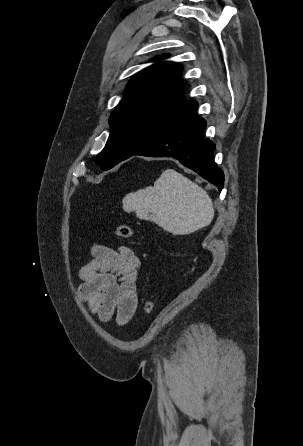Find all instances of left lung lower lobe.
I'll return each instance as SVG.
<instances>
[{
  "instance_id": "1",
  "label": "left lung lower lobe",
  "mask_w": 303,
  "mask_h": 446,
  "mask_svg": "<svg viewBox=\"0 0 303 446\" xmlns=\"http://www.w3.org/2000/svg\"><path fill=\"white\" fill-rule=\"evenodd\" d=\"M197 107L198 103L187 118L171 133L132 155L176 158L184 166L194 170L221 191L224 184V174L213 160L215 144L202 136L203 130L206 128V122L197 115ZM132 155L125 157L123 160Z\"/></svg>"
}]
</instances>
